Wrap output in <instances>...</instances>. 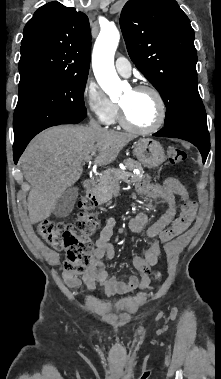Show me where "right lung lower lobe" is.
<instances>
[{
    "mask_svg": "<svg viewBox=\"0 0 221 379\" xmlns=\"http://www.w3.org/2000/svg\"><path fill=\"white\" fill-rule=\"evenodd\" d=\"M82 120H83V118L66 117L63 120H61L58 125H60V124H77ZM29 141L30 140L25 141V142H21V143H14V145H13V156H14L15 164L17 163L20 155L22 154V152L26 148Z\"/></svg>",
    "mask_w": 221,
    "mask_h": 379,
    "instance_id": "right-lung-lower-lobe-1",
    "label": "right lung lower lobe"
}]
</instances>
